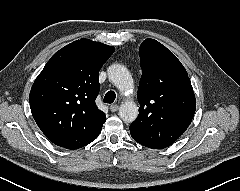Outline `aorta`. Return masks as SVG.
Wrapping results in <instances>:
<instances>
[{
  "label": "aorta",
  "mask_w": 240,
  "mask_h": 191,
  "mask_svg": "<svg viewBox=\"0 0 240 191\" xmlns=\"http://www.w3.org/2000/svg\"><path fill=\"white\" fill-rule=\"evenodd\" d=\"M108 78L122 93L133 88L132 77L124 65L112 64L109 66ZM138 113V107L133 101L123 102L119 109V116L125 123H132Z\"/></svg>",
  "instance_id": "762f6f07"
}]
</instances>
